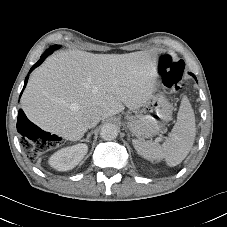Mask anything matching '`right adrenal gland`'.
I'll return each instance as SVG.
<instances>
[{
	"label": "right adrenal gland",
	"mask_w": 227,
	"mask_h": 227,
	"mask_svg": "<svg viewBox=\"0 0 227 227\" xmlns=\"http://www.w3.org/2000/svg\"><path fill=\"white\" fill-rule=\"evenodd\" d=\"M91 134H92V132H89V133L87 134L86 139H82L81 142H87V143L90 142L89 138H90Z\"/></svg>",
	"instance_id": "2a0ac1e0"
}]
</instances>
